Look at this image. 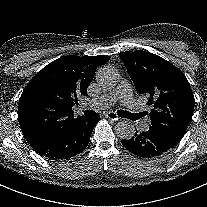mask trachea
<instances>
[{"instance_id":"1","label":"trachea","mask_w":207,"mask_h":207,"mask_svg":"<svg viewBox=\"0 0 207 207\" xmlns=\"http://www.w3.org/2000/svg\"><path fill=\"white\" fill-rule=\"evenodd\" d=\"M84 114H85L86 116H88V117H99V113H96L95 111H90V110H88V111H85ZM117 114H118L120 117H122V118H128V119H130V120H136V119H138V118H137V117H138L137 114H132V113H130V112H128V111L119 110V111L117 112Z\"/></svg>"}]
</instances>
